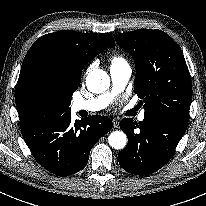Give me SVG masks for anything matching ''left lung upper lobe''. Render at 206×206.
<instances>
[{
    "label": "left lung upper lobe",
    "instance_id": "obj_1",
    "mask_svg": "<svg viewBox=\"0 0 206 206\" xmlns=\"http://www.w3.org/2000/svg\"><path fill=\"white\" fill-rule=\"evenodd\" d=\"M136 65L134 92L143 99L144 115L189 120L192 85L178 44L160 30L139 29L115 36Z\"/></svg>",
    "mask_w": 206,
    "mask_h": 206
}]
</instances>
